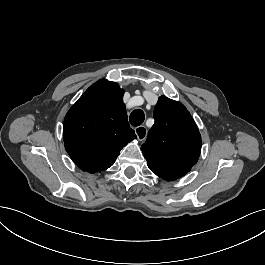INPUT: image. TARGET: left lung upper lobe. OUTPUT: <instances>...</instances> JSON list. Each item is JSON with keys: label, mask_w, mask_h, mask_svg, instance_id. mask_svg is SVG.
<instances>
[{"label": "left lung upper lobe", "mask_w": 265, "mask_h": 265, "mask_svg": "<svg viewBox=\"0 0 265 265\" xmlns=\"http://www.w3.org/2000/svg\"><path fill=\"white\" fill-rule=\"evenodd\" d=\"M155 122L141 150L157 176L173 181L186 175L201 152V136L190 113L179 102L161 96Z\"/></svg>", "instance_id": "obj_1"}]
</instances>
